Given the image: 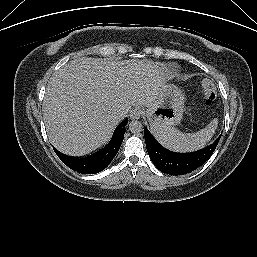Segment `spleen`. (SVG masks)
Segmentation results:
<instances>
[{
  "mask_svg": "<svg viewBox=\"0 0 257 257\" xmlns=\"http://www.w3.org/2000/svg\"><path fill=\"white\" fill-rule=\"evenodd\" d=\"M218 126L214 118L205 128L196 133H182L174 127H151L152 133L160 144L175 152H192L202 149L211 140Z\"/></svg>",
  "mask_w": 257,
  "mask_h": 257,
  "instance_id": "spleen-1",
  "label": "spleen"
}]
</instances>
